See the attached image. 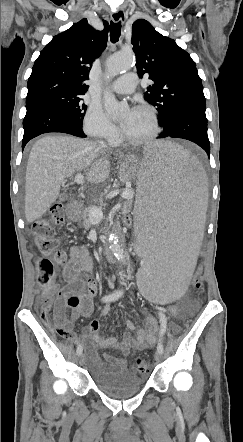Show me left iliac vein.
<instances>
[{"label":"left iliac vein","instance_id":"1","mask_svg":"<svg viewBox=\"0 0 243 442\" xmlns=\"http://www.w3.org/2000/svg\"><path fill=\"white\" fill-rule=\"evenodd\" d=\"M155 361L156 362H160L161 360V353H159L158 351L155 353L154 355Z\"/></svg>","mask_w":243,"mask_h":442}]
</instances>
